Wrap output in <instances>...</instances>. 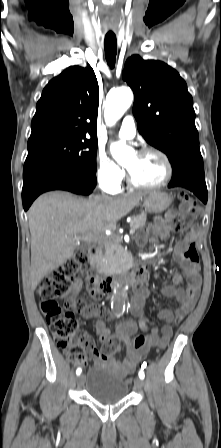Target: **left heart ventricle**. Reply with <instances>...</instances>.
Segmentation results:
<instances>
[{"label":"left heart ventricle","mask_w":221,"mask_h":448,"mask_svg":"<svg viewBox=\"0 0 221 448\" xmlns=\"http://www.w3.org/2000/svg\"><path fill=\"white\" fill-rule=\"evenodd\" d=\"M127 170L141 184L155 185L166 176L163 160L155 154L139 156L136 154L126 165Z\"/></svg>","instance_id":"left-heart-ventricle-1"}]
</instances>
